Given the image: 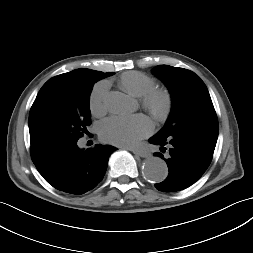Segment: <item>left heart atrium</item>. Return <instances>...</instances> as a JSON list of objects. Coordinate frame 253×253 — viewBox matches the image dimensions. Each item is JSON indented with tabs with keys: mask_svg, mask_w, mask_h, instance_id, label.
I'll return each mask as SVG.
<instances>
[{
	"mask_svg": "<svg viewBox=\"0 0 253 253\" xmlns=\"http://www.w3.org/2000/svg\"><path fill=\"white\" fill-rule=\"evenodd\" d=\"M154 130L152 120L143 114L111 116L99 125L100 136L108 143L134 146Z\"/></svg>",
	"mask_w": 253,
	"mask_h": 253,
	"instance_id": "obj_1",
	"label": "left heart atrium"
}]
</instances>
